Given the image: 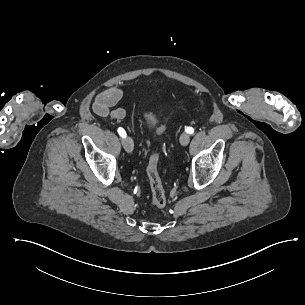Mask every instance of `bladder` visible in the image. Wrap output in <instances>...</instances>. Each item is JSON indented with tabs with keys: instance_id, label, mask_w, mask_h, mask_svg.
<instances>
[{
	"instance_id": "obj_1",
	"label": "bladder",
	"mask_w": 305,
	"mask_h": 305,
	"mask_svg": "<svg viewBox=\"0 0 305 305\" xmlns=\"http://www.w3.org/2000/svg\"><path fill=\"white\" fill-rule=\"evenodd\" d=\"M143 107L141 120L147 130L160 132L159 125L162 121L161 115L151 105L148 97H143L139 102V108Z\"/></svg>"
}]
</instances>
